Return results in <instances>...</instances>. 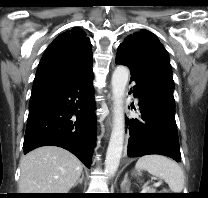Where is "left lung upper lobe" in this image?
<instances>
[{"label": "left lung upper lobe", "mask_w": 208, "mask_h": 198, "mask_svg": "<svg viewBox=\"0 0 208 198\" xmlns=\"http://www.w3.org/2000/svg\"><path fill=\"white\" fill-rule=\"evenodd\" d=\"M152 84L174 102V82L168 54L158 38L146 29L128 36L120 44Z\"/></svg>", "instance_id": "left-lung-upper-lobe-1"}]
</instances>
